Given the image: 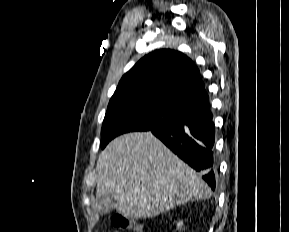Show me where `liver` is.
<instances>
[{
    "label": "liver",
    "mask_w": 289,
    "mask_h": 232,
    "mask_svg": "<svg viewBox=\"0 0 289 232\" xmlns=\"http://www.w3.org/2000/svg\"><path fill=\"white\" fill-rule=\"evenodd\" d=\"M96 197L112 198L126 218H150L176 205L211 196L201 176L151 132L112 140L97 161Z\"/></svg>",
    "instance_id": "obj_1"
}]
</instances>
